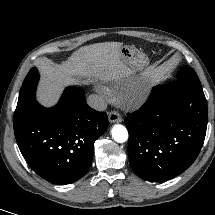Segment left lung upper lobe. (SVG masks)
Returning a JSON list of instances; mask_svg holds the SVG:
<instances>
[{
  "mask_svg": "<svg viewBox=\"0 0 215 215\" xmlns=\"http://www.w3.org/2000/svg\"><path fill=\"white\" fill-rule=\"evenodd\" d=\"M177 78L179 82L193 86H201L197 74L189 67H182L177 73Z\"/></svg>",
  "mask_w": 215,
  "mask_h": 215,
  "instance_id": "left-lung-upper-lobe-1",
  "label": "left lung upper lobe"
}]
</instances>
